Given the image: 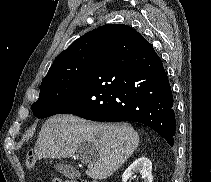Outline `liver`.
I'll return each mask as SVG.
<instances>
[{
  "label": "liver",
  "mask_w": 211,
  "mask_h": 182,
  "mask_svg": "<svg viewBox=\"0 0 211 182\" xmlns=\"http://www.w3.org/2000/svg\"><path fill=\"white\" fill-rule=\"evenodd\" d=\"M82 144H87L94 153L91 158L83 156L88 165L87 176L106 179L137 149L139 135L126 123H89L74 115H58L43 124L34 153L38 159L69 158Z\"/></svg>",
  "instance_id": "1"
}]
</instances>
